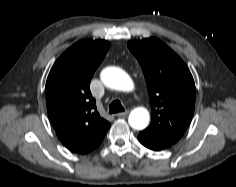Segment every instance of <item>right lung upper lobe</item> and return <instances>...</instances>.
Masks as SVG:
<instances>
[{
    "mask_svg": "<svg viewBox=\"0 0 236 187\" xmlns=\"http://www.w3.org/2000/svg\"><path fill=\"white\" fill-rule=\"evenodd\" d=\"M109 47L105 40L78 41L57 59L48 75V116L62 144L73 153L92 152L110 127L97 112L90 92L91 78Z\"/></svg>",
    "mask_w": 236,
    "mask_h": 187,
    "instance_id": "obj_1",
    "label": "right lung upper lobe"
}]
</instances>
